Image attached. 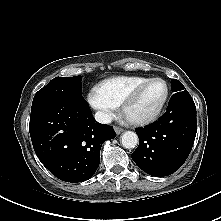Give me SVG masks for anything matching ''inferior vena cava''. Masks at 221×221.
<instances>
[{
	"instance_id": "inferior-vena-cava-1",
	"label": "inferior vena cava",
	"mask_w": 221,
	"mask_h": 221,
	"mask_svg": "<svg viewBox=\"0 0 221 221\" xmlns=\"http://www.w3.org/2000/svg\"><path fill=\"white\" fill-rule=\"evenodd\" d=\"M94 117L97 122L102 124H109L112 121V117L109 114L102 111L96 112Z\"/></svg>"
}]
</instances>
